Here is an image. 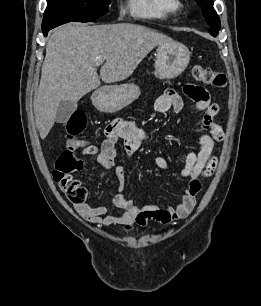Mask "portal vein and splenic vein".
<instances>
[{
    "instance_id": "1",
    "label": "portal vein and splenic vein",
    "mask_w": 261,
    "mask_h": 306,
    "mask_svg": "<svg viewBox=\"0 0 261 306\" xmlns=\"http://www.w3.org/2000/svg\"><path fill=\"white\" fill-rule=\"evenodd\" d=\"M103 62H104L103 58H101V57H97V58H96V64H97V65H100V64H102Z\"/></svg>"
}]
</instances>
